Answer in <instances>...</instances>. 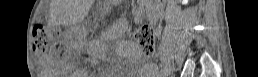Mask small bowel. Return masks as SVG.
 Here are the masks:
<instances>
[{
    "label": "small bowel",
    "mask_w": 258,
    "mask_h": 77,
    "mask_svg": "<svg viewBox=\"0 0 258 77\" xmlns=\"http://www.w3.org/2000/svg\"><path fill=\"white\" fill-rule=\"evenodd\" d=\"M143 73L146 74L147 76L151 75L152 73H154L153 71H151V68H149L148 65H144L143 66Z\"/></svg>",
    "instance_id": "obj_1"
}]
</instances>
